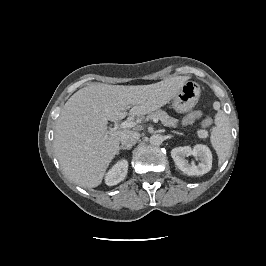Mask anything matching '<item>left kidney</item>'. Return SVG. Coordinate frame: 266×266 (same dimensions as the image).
<instances>
[{
	"mask_svg": "<svg viewBox=\"0 0 266 266\" xmlns=\"http://www.w3.org/2000/svg\"><path fill=\"white\" fill-rule=\"evenodd\" d=\"M191 155L200 160L199 164L188 162L186 157ZM171 156L176 166L190 176L206 174L212 168V153L206 145L197 144L194 148L189 146L177 147L171 150Z\"/></svg>",
	"mask_w": 266,
	"mask_h": 266,
	"instance_id": "obj_1",
	"label": "left kidney"
}]
</instances>
